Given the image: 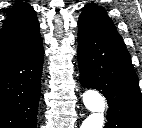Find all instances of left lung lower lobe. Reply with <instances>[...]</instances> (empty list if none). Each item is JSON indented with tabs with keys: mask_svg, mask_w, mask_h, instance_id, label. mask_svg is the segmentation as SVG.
<instances>
[{
	"mask_svg": "<svg viewBox=\"0 0 142 128\" xmlns=\"http://www.w3.org/2000/svg\"><path fill=\"white\" fill-rule=\"evenodd\" d=\"M78 64L83 87L107 99L104 128H142V95L123 41L103 36L78 23Z\"/></svg>",
	"mask_w": 142,
	"mask_h": 128,
	"instance_id": "obj_1",
	"label": "left lung lower lobe"
}]
</instances>
